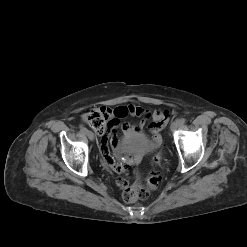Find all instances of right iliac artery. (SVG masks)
<instances>
[{
    "label": "right iliac artery",
    "instance_id": "82829eb1",
    "mask_svg": "<svg viewBox=\"0 0 247 247\" xmlns=\"http://www.w3.org/2000/svg\"><path fill=\"white\" fill-rule=\"evenodd\" d=\"M80 130H81L82 133H85V134H86L87 131H88V130H87L85 127H83V126L80 127Z\"/></svg>",
    "mask_w": 247,
    "mask_h": 247
}]
</instances>
